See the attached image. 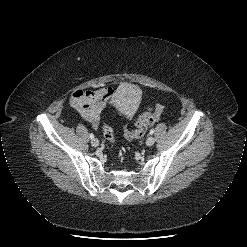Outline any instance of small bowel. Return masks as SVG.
Wrapping results in <instances>:
<instances>
[{
  "label": "small bowel",
  "mask_w": 247,
  "mask_h": 247,
  "mask_svg": "<svg viewBox=\"0 0 247 247\" xmlns=\"http://www.w3.org/2000/svg\"><path fill=\"white\" fill-rule=\"evenodd\" d=\"M115 93L116 91L108 86L98 87L94 90H78L71 95L70 104L83 119L96 128L99 126L102 110L113 102Z\"/></svg>",
  "instance_id": "c3829d8e"
}]
</instances>
